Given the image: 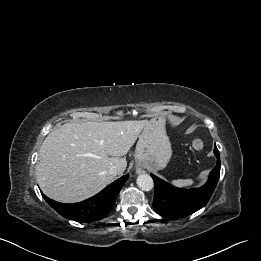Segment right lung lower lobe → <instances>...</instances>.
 <instances>
[{"instance_id":"1","label":"right lung lower lobe","mask_w":261,"mask_h":261,"mask_svg":"<svg viewBox=\"0 0 261 261\" xmlns=\"http://www.w3.org/2000/svg\"><path fill=\"white\" fill-rule=\"evenodd\" d=\"M129 175L117 179L95 196L74 204L56 202L45 195L44 199L63 217L79 222H91L105 218L113 209L115 200Z\"/></svg>"}]
</instances>
